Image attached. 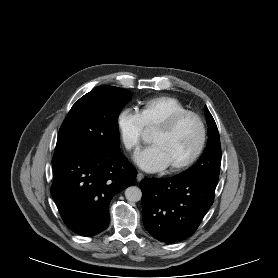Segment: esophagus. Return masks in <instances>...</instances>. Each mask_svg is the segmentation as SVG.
Returning <instances> with one entry per match:
<instances>
[{
	"instance_id": "obj_1",
	"label": "esophagus",
	"mask_w": 278,
	"mask_h": 278,
	"mask_svg": "<svg viewBox=\"0 0 278 278\" xmlns=\"http://www.w3.org/2000/svg\"><path fill=\"white\" fill-rule=\"evenodd\" d=\"M144 178V174L141 172H138L137 174V181L140 182Z\"/></svg>"
}]
</instances>
